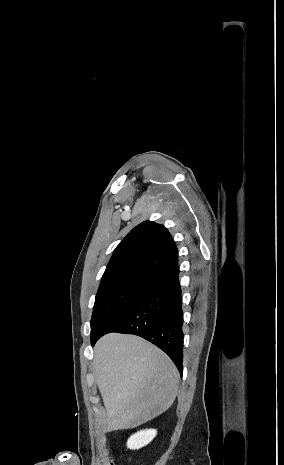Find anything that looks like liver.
<instances>
[{
  "instance_id": "1",
  "label": "liver",
  "mask_w": 284,
  "mask_h": 465,
  "mask_svg": "<svg viewBox=\"0 0 284 465\" xmlns=\"http://www.w3.org/2000/svg\"><path fill=\"white\" fill-rule=\"evenodd\" d=\"M94 371L106 415L102 431L135 429L173 405L179 375L160 349L133 335H105L94 347Z\"/></svg>"
}]
</instances>
